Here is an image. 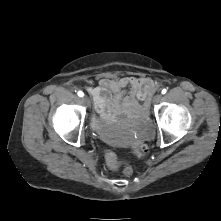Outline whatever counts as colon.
<instances>
[{
  "label": "colon",
  "instance_id": "5ec220e1",
  "mask_svg": "<svg viewBox=\"0 0 221 221\" xmlns=\"http://www.w3.org/2000/svg\"><path fill=\"white\" fill-rule=\"evenodd\" d=\"M134 151L138 156H143L147 152V146L144 143H138L136 144ZM105 157L107 165L111 169H115L118 167L117 157L114 153L107 152ZM123 173L127 176H130L133 174V168L129 164H125L123 166Z\"/></svg>",
  "mask_w": 221,
  "mask_h": 221
}]
</instances>
